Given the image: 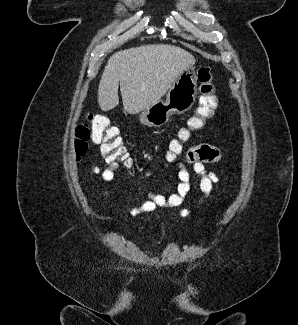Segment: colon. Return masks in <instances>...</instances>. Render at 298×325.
Instances as JSON below:
<instances>
[{"label": "colon", "instance_id": "colon-1", "mask_svg": "<svg viewBox=\"0 0 298 325\" xmlns=\"http://www.w3.org/2000/svg\"><path fill=\"white\" fill-rule=\"evenodd\" d=\"M199 82V102L188 120L186 127L178 132L176 139L170 141L166 158L173 162L183 152L184 144L191 138L194 131L203 129L214 115L217 107L213 74L210 67H200L197 71ZM93 141L100 145L102 154L110 161L131 166V159L124 147L119 129L107 117L89 115L87 120L77 125L75 129L74 149L77 157L83 156L87 151L88 142Z\"/></svg>", "mask_w": 298, "mask_h": 325}]
</instances>
